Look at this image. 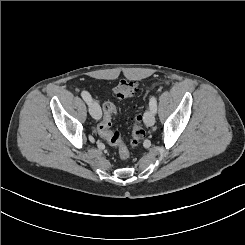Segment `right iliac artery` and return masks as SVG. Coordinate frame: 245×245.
<instances>
[{
	"instance_id": "1",
	"label": "right iliac artery",
	"mask_w": 245,
	"mask_h": 245,
	"mask_svg": "<svg viewBox=\"0 0 245 245\" xmlns=\"http://www.w3.org/2000/svg\"><path fill=\"white\" fill-rule=\"evenodd\" d=\"M81 96L85 100L86 103H89L92 99L91 95L87 91H82Z\"/></svg>"
}]
</instances>
